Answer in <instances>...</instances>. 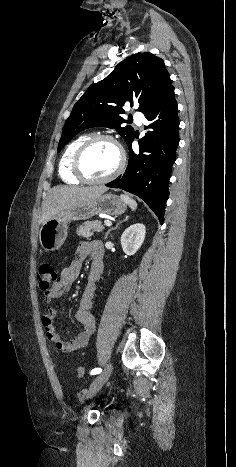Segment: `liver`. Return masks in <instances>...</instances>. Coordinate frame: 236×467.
Masks as SVG:
<instances>
[{
	"instance_id": "1",
	"label": "liver",
	"mask_w": 236,
	"mask_h": 467,
	"mask_svg": "<svg viewBox=\"0 0 236 467\" xmlns=\"http://www.w3.org/2000/svg\"><path fill=\"white\" fill-rule=\"evenodd\" d=\"M107 191L106 187H75V186H57L54 187L47 200L43 204L40 223L44 225L49 219L61 210L90 202L101 196Z\"/></svg>"
}]
</instances>
